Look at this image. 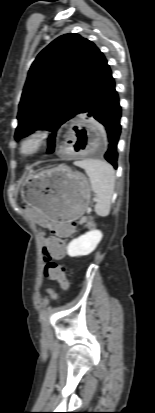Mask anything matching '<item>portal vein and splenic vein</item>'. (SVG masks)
Segmentation results:
<instances>
[{
	"label": "portal vein and splenic vein",
	"instance_id": "18ae733b",
	"mask_svg": "<svg viewBox=\"0 0 155 413\" xmlns=\"http://www.w3.org/2000/svg\"><path fill=\"white\" fill-rule=\"evenodd\" d=\"M87 211H88V212H91V209L89 208Z\"/></svg>",
	"mask_w": 155,
	"mask_h": 413
}]
</instances>
